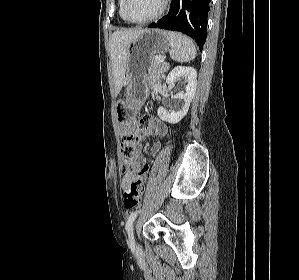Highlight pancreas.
<instances>
[{"label":"pancreas","instance_id":"obj_1","mask_svg":"<svg viewBox=\"0 0 299 280\" xmlns=\"http://www.w3.org/2000/svg\"><path fill=\"white\" fill-rule=\"evenodd\" d=\"M168 66L154 59L148 71L147 81L151 84L159 83L161 74L167 70Z\"/></svg>","mask_w":299,"mask_h":280}]
</instances>
